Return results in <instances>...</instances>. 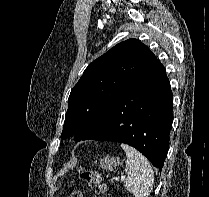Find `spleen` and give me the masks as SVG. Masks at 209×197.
Instances as JSON below:
<instances>
[{"label":"spleen","instance_id":"spleen-1","mask_svg":"<svg viewBox=\"0 0 209 197\" xmlns=\"http://www.w3.org/2000/svg\"><path fill=\"white\" fill-rule=\"evenodd\" d=\"M127 160L125 188L135 197H148L154 184V172L149 161L135 148L121 144Z\"/></svg>","mask_w":209,"mask_h":197}]
</instances>
